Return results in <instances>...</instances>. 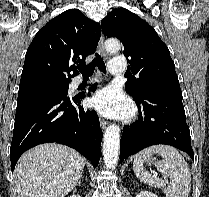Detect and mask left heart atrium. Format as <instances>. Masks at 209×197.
Returning <instances> with one entry per match:
<instances>
[{
	"mask_svg": "<svg viewBox=\"0 0 209 197\" xmlns=\"http://www.w3.org/2000/svg\"><path fill=\"white\" fill-rule=\"evenodd\" d=\"M91 105L107 117H127L132 112L129 101L115 87H106L96 92L91 99Z\"/></svg>",
	"mask_w": 209,
	"mask_h": 197,
	"instance_id": "left-heart-atrium-1",
	"label": "left heart atrium"
}]
</instances>
